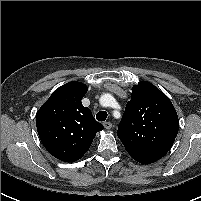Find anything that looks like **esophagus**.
Instances as JSON below:
<instances>
[{"instance_id": "34e87169", "label": "esophagus", "mask_w": 201, "mask_h": 201, "mask_svg": "<svg viewBox=\"0 0 201 201\" xmlns=\"http://www.w3.org/2000/svg\"><path fill=\"white\" fill-rule=\"evenodd\" d=\"M103 126H104L105 129L109 130V129L112 128V123L109 122V121H106V122L103 123Z\"/></svg>"}]
</instances>
